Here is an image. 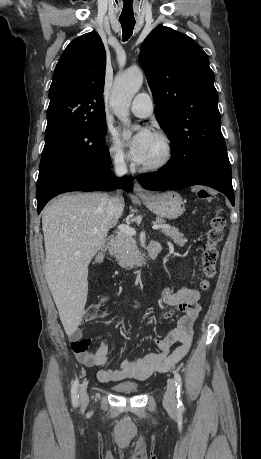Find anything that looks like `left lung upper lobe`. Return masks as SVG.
<instances>
[{"label":"left lung upper lobe","instance_id":"left-lung-upper-lobe-1","mask_svg":"<svg viewBox=\"0 0 261 459\" xmlns=\"http://www.w3.org/2000/svg\"><path fill=\"white\" fill-rule=\"evenodd\" d=\"M139 62L156 101L157 121L172 143L170 163L226 149L214 74L203 49L162 25L144 40Z\"/></svg>","mask_w":261,"mask_h":459}]
</instances>
